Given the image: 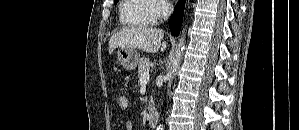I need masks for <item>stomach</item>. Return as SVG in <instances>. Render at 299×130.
I'll use <instances>...</instances> for the list:
<instances>
[{"label":"stomach","instance_id":"1","mask_svg":"<svg viewBox=\"0 0 299 130\" xmlns=\"http://www.w3.org/2000/svg\"><path fill=\"white\" fill-rule=\"evenodd\" d=\"M117 60L119 64L126 70H134L139 62V54L133 48H118Z\"/></svg>","mask_w":299,"mask_h":130}]
</instances>
